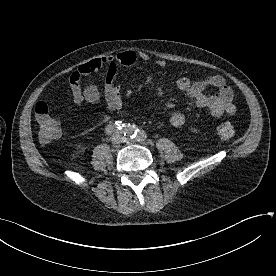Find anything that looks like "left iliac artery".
Segmentation results:
<instances>
[{
    "label": "left iliac artery",
    "mask_w": 276,
    "mask_h": 276,
    "mask_svg": "<svg viewBox=\"0 0 276 276\" xmlns=\"http://www.w3.org/2000/svg\"><path fill=\"white\" fill-rule=\"evenodd\" d=\"M135 137L138 141H143L146 138V134L143 130L137 129Z\"/></svg>",
    "instance_id": "1"
}]
</instances>
